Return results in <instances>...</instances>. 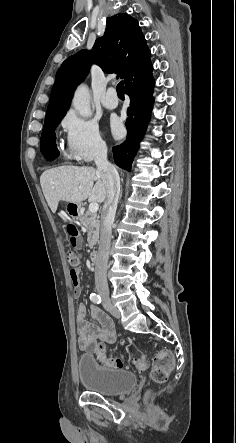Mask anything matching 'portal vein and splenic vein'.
I'll return each instance as SVG.
<instances>
[{"label": "portal vein and splenic vein", "mask_w": 236, "mask_h": 443, "mask_svg": "<svg viewBox=\"0 0 236 443\" xmlns=\"http://www.w3.org/2000/svg\"><path fill=\"white\" fill-rule=\"evenodd\" d=\"M79 188H81V187H79ZM98 209H99V205L97 202H93L89 205V212H91V213H96L98 211Z\"/></svg>", "instance_id": "portal-vein-and-splenic-vein-1"}]
</instances>
